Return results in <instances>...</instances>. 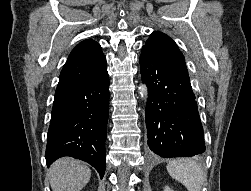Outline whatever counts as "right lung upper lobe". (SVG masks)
Segmentation results:
<instances>
[{
  "label": "right lung upper lobe",
  "mask_w": 251,
  "mask_h": 191,
  "mask_svg": "<svg viewBox=\"0 0 251 191\" xmlns=\"http://www.w3.org/2000/svg\"><path fill=\"white\" fill-rule=\"evenodd\" d=\"M106 74L101 46L92 39L84 40L72 50L63 66L55 95L90 84Z\"/></svg>",
  "instance_id": "obj_1"
}]
</instances>
